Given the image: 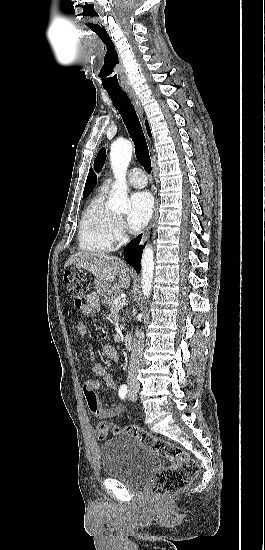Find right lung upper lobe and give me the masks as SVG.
Returning a JSON list of instances; mask_svg holds the SVG:
<instances>
[{"mask_svg":"<svg viewBox=\"0 0 265 550\" xmlns=\"http://www.w3.org/2000/svg\"><path fill=\"white\" fill-rule=\"evenodd\" d=\"M146 128H147V132H148L149 136H151L149 125H148L147 121H146ZM96 181H97V177L95 176V174H94V172L91 168L90 171H89L88 177H87L86 184H85L83 198H86L90 194V192L93 190V188L96 184Z\"/></svg>","mask_w":265,"mask_h":550,"instance_id":"cb5924a9","label":"right lung upper lobe"}]
</instances>
